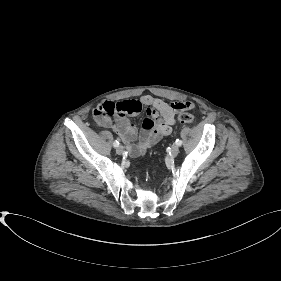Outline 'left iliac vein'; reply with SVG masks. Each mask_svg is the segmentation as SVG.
Instances as JSON below:
<instances>
[{"mask_svg": "<svg viewBox=\"0 0 281 281\" xmlns=\"http://www.w3.org/2000/svg\"><path fill=\"white\" fill-rule=\"evenodd\" d=\"M178 153H179V147H178V145H173V146L171 147V155H172L173 157H175V156L178 155Z\"/></svg>", "mask_w": 281, "mask_h": 281, "instance_id": "obj_1", "label": "left iliac vein"}]
</instances>
